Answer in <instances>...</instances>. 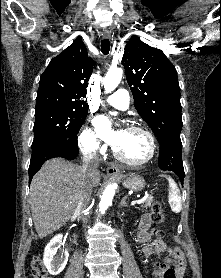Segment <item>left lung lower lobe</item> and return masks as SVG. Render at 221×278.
<instances>
[{
	"label": "left lung lower lobe",
	"mask_w": 221,
	"mask_h": 278,
	"mask_svg": "<svg viewBox=\"0 0 221 278\" xmlns=\"http://www.w3.org/2000/svg\"><path fill=\"white\" fill-rule=\"evenodd\" d=\"M158 159L159 168L176 173L181 180L184 179V168L182 162L181 140H166L160 144Z\"/></svg>",
	"instance_id": "0a47b994"
}]
</instances>
